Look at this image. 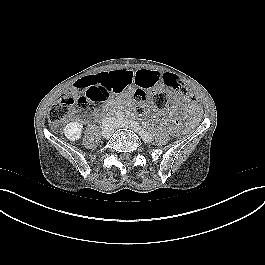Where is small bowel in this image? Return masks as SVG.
Masks as SVG:
<instances>
[{
  "label": "small bowel",
  "instance_id": "small-bowel-1",
  "mask_svg": "<svg viewBox=\"0 0 265 265\" xmlns=\"http://www.w3.org/2000/svg\"><path fill=\"white\" fill-rule=\"evenodd\" d=\"M94 76L108 77L115 92L118 93L132 85H137L143 89H154L161 87L163 86L164 74L154 70H115L102 72ZM188 96H191V94H189ZM169 110L173 112L175 111V107H171ZM199 112L195 114H199Z\"/></svg>",
  "mask_w": 265,
  "mask_h": 265
}]
</instances>
